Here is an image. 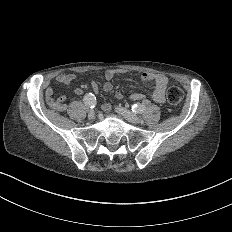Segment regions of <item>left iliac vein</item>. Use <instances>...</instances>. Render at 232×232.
I'll use <instances>...</instances> for the list:
<instances>
[{
	"mask_svg": "<svg viewBox=\"0 0 232 232\" xmlns=\"http://www.w3.org/2000/svg\"><path fill=\"white\" fill-rule=\"evenodd\" d=\"M112 110L114 112H118L122 116H125L126 119H128L129 122L132 123H138L139 117L137 113H134L133 111H128L127 109L122 108L121 106L114 105L112 107Z\"/></svg>",
	"mask_w": 232,
	"mask_h": 232,
	"instance_id": "1",
	"label": "left iliac vein"
}]
</instances>
